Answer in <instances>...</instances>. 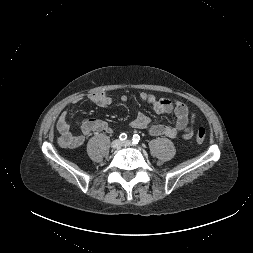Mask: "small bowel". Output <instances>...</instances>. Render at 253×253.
Returning a JSON list of instances; mask_svg holds the SVG:
<instances>
[{
  "label": "small bowel",
  "instance_id": "small-bowel-1",
  "mask_svg": "<svg viewBox=\"0 0 253 253\" xmlns=\"http://www.w3.org/2000/svg\"><path fill=\"white\" fill-rule=\"evenodd\" d=\"M89 100L101 108H107L112 103V98L105 92H93L89 95ZM140 99L152 105L153 109L158 114L174 113L176 116V123L174 126L164 124L152 123L151 119L143 113H140L132 122L131 127L134 129H143L151 136H166L169 138H176L181 136L184 139H189L194 130L195 115L182 102L170 98L155 96L142 92ZM122 101H126L127 97L122 96ZM80 98L72 100L70 107L79 103ZM76 126L80 127L81 134L74 135L71 133V126L68 120V110L64 111L57 123V129L61 135L63 146L67 148H77L84 144L86 138L94 132L105 131L112 133L113 128L103 120L88 119L81 121L77 119Z\"/></svg>",
  "mask_w": 253,
  "mask_h": 253
}]
</instances>
